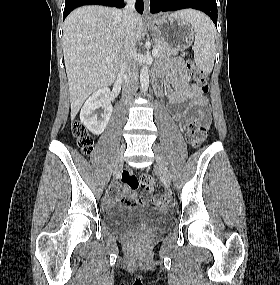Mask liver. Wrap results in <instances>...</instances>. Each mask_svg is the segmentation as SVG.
Here are the masks:
<instances>
[{
  "mask_svg": "<svg viewBox=\"0 0 280 285\" xmlns=\"http://www.w3.org/2000/svg\"><path fill=\"white\" fill-rule=\"evenodd\" d=\"M143 30L142 17L135 14L136 42L141 41ZM123 33L122 11L117 9L84 6L65 19L63 53L72 120L91 93L115 81L124 46Z\"/></svg>",
  "mask_w": 280,
  "mask_h": 285,
  "instance_id": "6515ba94",
  "label": "liver"
}]
</instances>
